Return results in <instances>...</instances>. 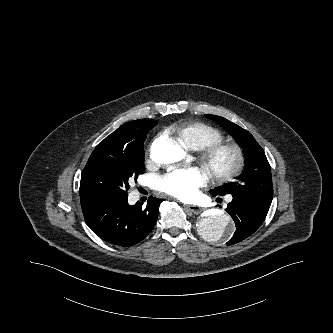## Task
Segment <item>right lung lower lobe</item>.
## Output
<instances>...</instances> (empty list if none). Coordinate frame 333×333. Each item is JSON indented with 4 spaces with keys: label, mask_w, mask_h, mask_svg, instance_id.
<instances>
[{
    "label": "right lung lower lobe",
    "mask_w": 333,
    "mask_h": 333,
    "mask_svg": "<svg viewBox=\"0 0 333 333\" xmlns=\"http://www.w3.org/2000/svg\"><path fill=\"white\" fill-rule=\"evenodd\" d=\"M128 196L99 200L82 206L86 224L101 239L128 247L142 241L154 228L162 199L149 197L146 208L141 203L128 204Z\"/></svg>",
    "instance_id": "obj_1"
}]
</instances>
